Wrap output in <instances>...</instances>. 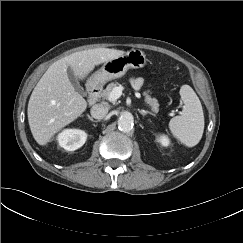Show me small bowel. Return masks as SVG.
<instances>
[{"mask_svg":"<svg viewBox=\"0 0 243 243\" xmlns=\"http://www.w3.org/2000/svg\"><path fill=\"white\" fill-rule=\"evenodd\" d=\"M143 79L139 77L131 78V84L135 89H140L143 86Z\"/></svg>","mask_w":243,"mask_h":243,"instance_id":"1","label":"small bowel"}]
</instances>
